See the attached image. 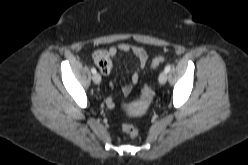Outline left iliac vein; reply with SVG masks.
<instances>
[{
  "label": "left iliac vein",
  "mask_w": 248,
  "mask_h": 165,
  "mask_svg": "<svg viewBox=\"0 0 248 165\" xmlns=\"http://www.w3.org/2000/svg\"><path fill=\"white\" fill-rule=\"evenodd\" d=\"M159 83L160 84H165L167 81V73L165 71L161 72L159 77H158Z\"/></svg>",
  "instance_id": "1"
}]
</instances>
